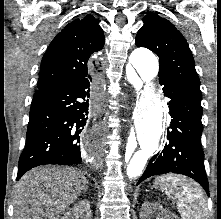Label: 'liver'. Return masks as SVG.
<instances>
[{"label":"liver","mask_w":221,"mask_h":219,"mask_svg":"<svg viewBox=\"0 0 221 219\" xmlns=\"http://www.w3.org/2000/svg\"><path fill=\"white\" fill-rule=\"evenodd\" d=\"M87 184L85 174L74 168H34L16 184L14 219H59Z\"/></svg>","instance_id":"liver-1"}]
</instances>
